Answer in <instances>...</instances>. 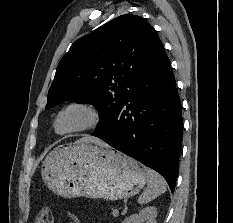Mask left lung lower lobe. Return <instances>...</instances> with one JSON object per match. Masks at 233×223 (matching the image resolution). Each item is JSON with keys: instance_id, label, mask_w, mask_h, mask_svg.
<instances>
[{"instance_id": "0a47b994", "label": "left lung lower lobe", "mask_w": 233, "mask_h": 223, "mask_svg": "<svg viewBox=\"0 0 233 223\" xmlns=\"http://www.w3.org/2000/svg\"><path fill=\"white\" fill-rule=\"evenodd\" d=\"M181 109L160 41L115 118L92 135L160 173L173 193L182 145Z\"/></svg>"}]
</instances>
